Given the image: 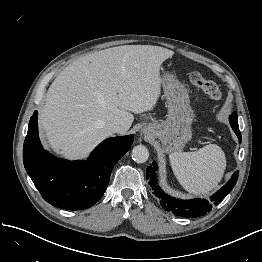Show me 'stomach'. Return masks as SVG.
I'll list each match as a JSON object with an SVG mask.
<instances>
[{"label": "stomach", "mask_w": 262, "mask_h": 262, "mask_svg": "<svg viewBox=\"0 0 262 262\" xmlns=\"http://www.w3.org/2000/svg\"><path fill=\"white\" fill-rule=\"evenodd\" d=\"M161 84L167 102V118L161 123L145 125L143 132L159 139L165 152L181 151L192 137L194 112L190 106L189 92L170 73L163 74Z\"/></svg>", "instance_id": "1"}]
</instances>
